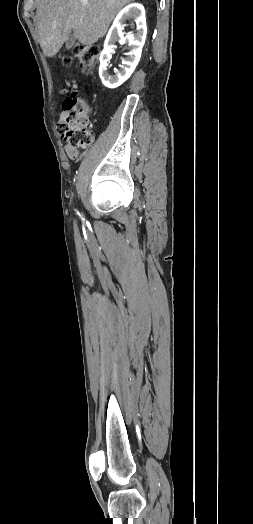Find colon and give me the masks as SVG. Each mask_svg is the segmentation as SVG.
<instances>
[{"label":"colon","instance_id":"5ec220e1","mask_svg":"<svg viewBox=\"0 0 253 524\" xmlns=\"http://www.w3.org/2000/svg\"><path fill=\"white\" fill-rule=\"evenodd\" d=\"M72 55L78 60L82 71L89 74L92 72L93 65L100 55V48L95 44H78L73 47ZM71 63V55L62 57L64 66L68 67ZM73 82L78 84L80 79L75 77ZM88 86L89 83L84 81L78 90L74 88L69 89L59 113L57 132L68 146L73 149L88 147L93 141L85 121L86 105L80 96V93L88 91Z\"/></svg>","mask_w":253,"mask_h":524}]
</instances>
